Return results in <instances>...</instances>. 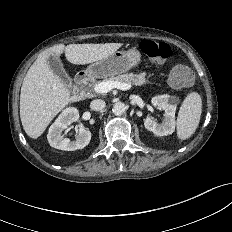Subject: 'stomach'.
<instances>
[{
    "instance_id": "0dacf381",
    "label": "stomach",
    "mask_w": 232,
    "mask_h": 232,
    "mask_svg": "<svg viewBox=\"0 0 232 232\" xmlns=\"http://www.w3.org/2000/svg\"><path fill=\"white\" fill-rule=\"evenodd\" d=\"M141 60L140 52L131 48L126 51H115L108 57L91 63L86 73L90 77L104 78L124 73L136 66Z\"/></svg>"
}]
</instances>
